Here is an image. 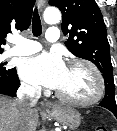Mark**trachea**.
<instances>
[{
	"instance_id": "3493384b",
	"label": "trachea",
	"mask_w": 117,
	"mask_h": 131,
	"mask_svg": "<svg viewBox=\"0 0 117 131\" xmlns=\"http://www.w3.org/2000/svg\"><path fill=\"white\" fill-rule=\"evenodd\" d=\"M32 33L36 37L40 36L42 33V25H41V20H40V16H39L37 8H35L34 13H33Z\"/></svg>"
}]
</instances>
